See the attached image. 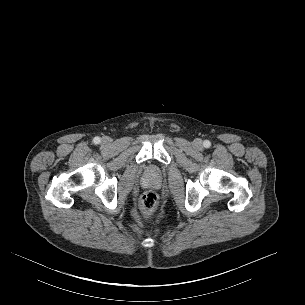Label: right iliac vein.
Listing matches in <instances>:
<instances>
[{"label":"right iliac vein","instance_id":"right-iliac-vein-1","mask_svg":"<svg viewBox=\"0 0 305 305\" xmlns=\"http://www.w3.org/2000/svg\"><path fill=\"white\" fill-rule=\"evenodd\" d=\"M102 142L104 144H108L110 142V140H109V138L105 137V138L102 139Z\"/></svg>","mask_w":305,"mask_h":305}]
</instances>
